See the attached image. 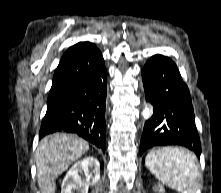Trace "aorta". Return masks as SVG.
Here are the masks:
<instances>
[{
	"label": "aorta",
	"instance_id": "1",
	"mask_svg": "<svg viewBox=\"0 0 221 193\" xmlns=\"http://www.w3.org/2000/svg\"><path fill=\"white\" fill-rule=\"evenodd\" d=\"M151 114H152L151 109L149 107H145V109L142 112L143 117L145 119H148V118H150Z\"/></svg>",
	"mask_w": 221,
	"mask_h": 193
}]
</instances>
